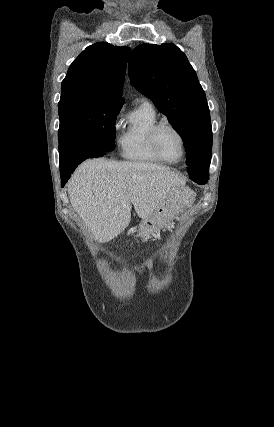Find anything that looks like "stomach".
<instances>
[{"mask_svg":"<svg viewBox=\"0 0 274 427\" xmlns=\"http://www.w3.org/2000/svg\"><path fill=\"white\" fill-rule=\"evenodd\" d=\"M184 192L185 196H188L189 188H184ZM192 196L194 198V194H192ZM174 204L175 202H171V200H168V202H163V204L158 206L154 214L150 215V217H147V219H142V221L139 223L137 231L138 237H141L143 241H147V239H150V237H153V235L159 233L162 227H165V225L171 223L173 217H175V215H177L180 210L179 206H174Z\"/></svg>","mask_w":274,"mask_h":427,"instance_id":"0dacf381","label":"stomach"}]
</instances>
